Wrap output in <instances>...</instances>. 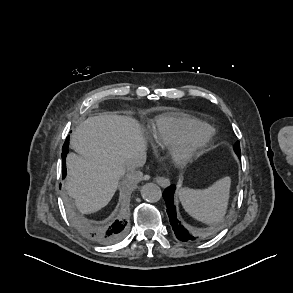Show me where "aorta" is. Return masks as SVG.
Segmentation results:
<instances>
[{
	"mask_svg": "<svg viewBox=\"0 0 293 293\" xmlns=\"http://www.w3.org/2000/svg\"><path fill=\"white\" fill-rule=\"evenodd\" d=\"M141 196L147 202H157L162 196L160 187L155 183H146L141 187Z\"/></svg>",
	"mask_w": 293,
	"mask_h": 293,
	"instance_id": "obj_1",
	"label": "aorta"
}]
</instances>
